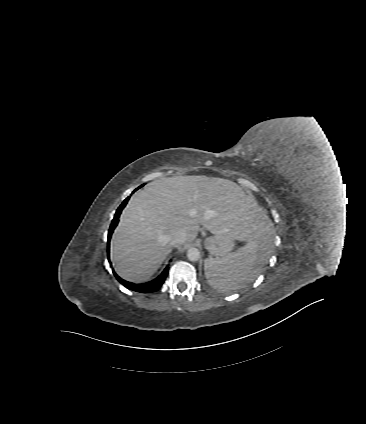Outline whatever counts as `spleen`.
<instances>
[{"mask_svg":"<svg viewBox=\"0 0 366 424\" xmlns=\"http://www.w3.org/2000/svg\"><path fill=\"white\" fill-rule=\"evenodd\" d=\"M263 252L258 242L252 240L224 257L206 259L204 270L209 285L222 292L242 288L255 277L254 269Z\"/></svg>","mask_w":366,"mask_h":424,"instance_id":"1","label":"spleen"}]
</instances>
